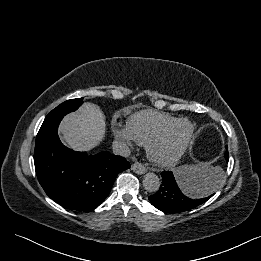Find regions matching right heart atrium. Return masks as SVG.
<instances>
[{
	"label": "right heart atrium",
	"instance_id": "d8ad5b80",
	"mask_svg": "<svg viewBox=\"0 0 261 261\" xmlns=\"http://www.w3.org/2000/svg\"><path fill=\"white\" fill-rule=\"evenodd\" d=\"M112 133L117 139L121 140L127 147H132L134 139L131 136L127 127L121 125H114L112 127Z\"/></svg>",
	"mask_w": 261,
	"mask_h": 261
}]
</instances>
